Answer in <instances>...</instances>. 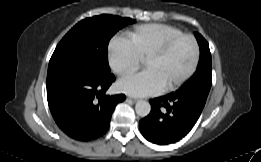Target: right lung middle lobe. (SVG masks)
<instances>
[{"instance_id":"1","label":"right lung middle lobe","mask_w":261,"mask_h":162,"mask_svg":"<svg viewBox=\"0 0 261 162\" xmlns=\"http://www.w3.org/2000/svg\"><path fill=\"white\" fill-rule=\"evenodd\" d=\"M133 22L135 20L114 15H99L80 21L57 45L49 62L47 77L71 68L110 74L109 40L118 30Z\"/></svg>"}]
</instances>
